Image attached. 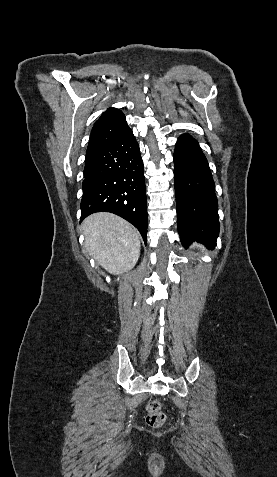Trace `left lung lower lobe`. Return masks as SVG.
<instances>
[{"mask_svg":"<svg viewBox=\"0 0 277 477\" xmlns=\"http://www.w3.org/2000/svg\"><path fill=\"white\" fill-rule=\"evenodd\" d=\"M174 164L180 240L183 246L197 241L212 249L219 234L215 186L207 159L190 135L179 137Z\"/></svg>","mask_w":277,"mask_h":477,"instance_id":"obj_1","label":"left lung lower lobe"}]
</instances>
